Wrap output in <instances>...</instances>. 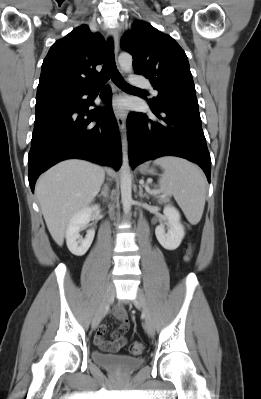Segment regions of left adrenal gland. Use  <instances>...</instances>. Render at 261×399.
Instances as JSON below:
<instances>
[{
    "label": "left adrenal gland",
    "mask_w": 261,
    "mask_h": 399,
    "mask_svg": "<svg viewBox=\"0 0 261 399\" xmlns=\"http://www.w3.org/2000/svg\"><path fill=\"white\" fill-rule=\"evenodd\" d=\"M139 196L141 198L146 197L147 199H149V196L146 193H143V189L141 186H139Z\"/></svg>",
    "instance_id": "obj_1"
}]
</instances>
